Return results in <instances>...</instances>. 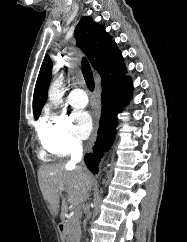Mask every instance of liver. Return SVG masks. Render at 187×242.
Returning a JSON list of instances; mask_svg holds the SVG:
<instances>
[{
    "label": "liver",
    "instance_id": "6515ba94",
    "mask_svg": "<svg viewBox=\"0 0 187 242\" xmlns=\"http://www.w3.org/2000/svg\"><path fill=\"white\" fill-rule=\"evenodd\" d=\"M38 180L42 195L53 216H57L60 208L62 191H67V198L63 197L61 216L68 210L77 207L87 198L93 185V177L82 167H75L63 163L42 165L38 170Z\"/></svg>",
    "mask_w": 187,
    "mask_h": 242
}]
</instances>
